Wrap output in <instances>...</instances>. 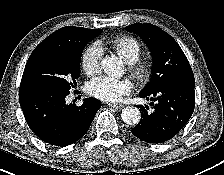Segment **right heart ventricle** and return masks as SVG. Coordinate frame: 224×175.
I'll return each mask as SVG.
<instances>
[{
    "instance_id": "right-heart-ventricle-1",
    "label": "right heart ventricle",
    "mask_w": 224,
    "mask_h": 175,
    "mask_svg": "<svg viewBox=\"0 0 224 175\" xmlns=\"http://www.w3.org/2000/svg\"><path fill=\"white\" fill-rule=\"evenodd\" d=\"M108 45L128 64L136 62L141 53V45L131 36H118L111 39Z\"/></svg>"
}]
</instances>
